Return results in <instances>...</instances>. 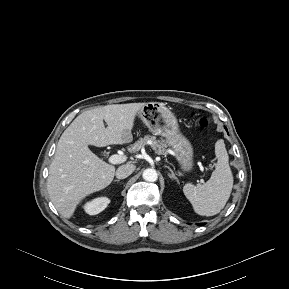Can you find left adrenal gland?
<instances>
[{
  "label": "left adrenal gland",
  "mask_w": 289,
  "mask_h": 289,
  "mask_svg": "<svg viewBox=\"0 0 289 289\" xmlns=\"http://www.w3.org/2000/svg\"><path fill=\"white\" fill-rule=\"evenodd\" d=\"M165 167L168 168V170L170 171L169 177H170L171 179L176 180V182L179 183V180H178V178L175 176V174H174V172L172 171V169H171L169 166H165Z\"/></svg>",
  "instance_id": "a2214340"
}]
</instances>
